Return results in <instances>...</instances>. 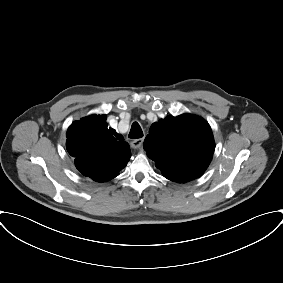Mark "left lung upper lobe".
I'll use <instances>...</instances> for the list:
<instances>
[{
  "label": "left lung upper lobe",
  "mask_w": 283,
  "mask_h": 283,
  "mask_svg": "<svg viewBox=\"0 0 283 283\" xmlns=\"http://www.w3.org/2000/svg\"><path fill=\"white\" fill-rule=\"evenodd\" d=\"M143 147L164 177L181 183L203 174L212 159L215 144L211 128L204 119L183 114L153 123ZM154 149L157 151L153 152Z\"/></svg>",
  "instance_id": "1"
}]
</instances>
